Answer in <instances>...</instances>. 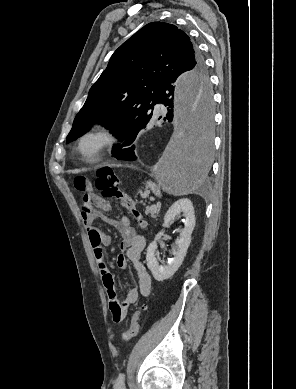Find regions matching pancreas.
Returning <instances> with one entry per match:
<instances>
[{
    "label": "pancreas",
    "mask_w": 296,
    "mask_h": 389,
    "mask_svg": "<svg viewBox=\"0 0 296 389\" xmlns=\"http://www.w3.org/2000/svg\"><path fill=\"white\" fill-rule=\"evenodd\" d=\"M155 208L156 210H152V206L148 208V211L151 213L152 216H154V214L157 212V206Z\"/></svg>",
    "instance_id": "obj_1"
}]
</instances>
